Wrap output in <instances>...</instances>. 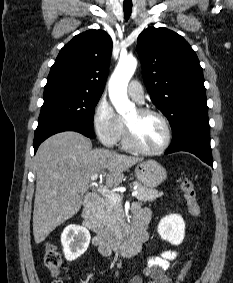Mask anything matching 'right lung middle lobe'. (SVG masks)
<instances>
[{
	"mask_svg": "<svg viewBox=\"0 0 233 283\" xmlns=\"http://www.w3.org/2000/svg\"><path fill=\"white\" fill-rule=\"evenodd\" d=\"M101 95L68 86L46 85L38 125L62 120L92 128L94 107Z\"/></svg>",
	"mask_w": 233,
	"mask_h": 283,
	"instance_id": "dd1d6c3e",
	"label": "right lung middle lobe"
}]
</instances>
